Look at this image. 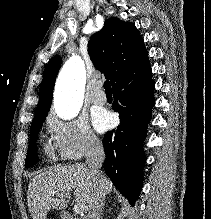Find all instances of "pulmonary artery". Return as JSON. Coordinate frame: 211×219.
<instances>
[{"label":"pulmonary artery","mask_w":211,"mask_h":219,"mask_svg":"<svg viewBox=\"0 0 211 219\" xmlns=\"http://www.w3.org/2000/svg\"><path fill=\"white\" fill-rule=\"evenodd\" d=\"M90 100L96 105H103L106 103V94L100 89V85L97 84L94 90L90 94Z\"/></svg>","instance_id":"pulmonary-artery-1"}]
</instances>
